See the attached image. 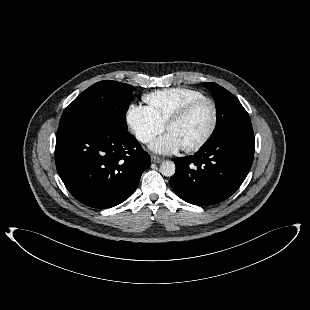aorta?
Returning <instances> with one entry per match:
<instances>
[{"mask_svg":"<svg viewBox=\"0 0 310 310\" xmlns=\"http://www.w3.org/2000/svg\"><path fill=\"white\" fill-rule=\"evenodd\" d=\"M175 164L173 161L165 160L160 165V172L163 176L171 177L175 173Z\"/></svg>","mask_w":310,"mask_h":310,"instance_id":"1","label":"aorta"}]
</instances>
